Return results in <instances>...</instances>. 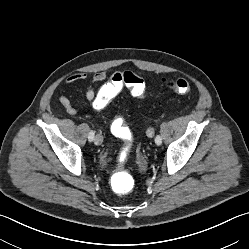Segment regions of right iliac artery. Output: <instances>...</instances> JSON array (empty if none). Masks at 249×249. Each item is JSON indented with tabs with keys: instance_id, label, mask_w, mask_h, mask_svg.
Returning <instances> with one entry per match:
<instances>
[{
	"instance_id": "obj_1",
	"label": "right iliac artery",
	"mask_w": 249,
	"mask_h": 249,
	"mask_svg": "<svg viewBox=\"0 0 249 249\" xmlns=\"http://www.w3.org/2000/svg\"><path fill=\"white\" fill-rule=\"evenodd\" d=\"M94 135H95V132H94L93 130H91V131L89 132V135H88L89 141H93Z\"/></svg>"
}]
</instances>
